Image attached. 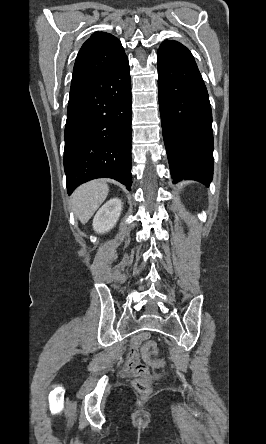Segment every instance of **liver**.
Returning a JSON list of instances; mask_svg holds the SVG:
<instances>
[{
	"mask_svg": "<svg viewBox=\"0 0 266 444\" xmlns=\"http://www.w3.org/2000/svg\"><path fill=\"white\" fill-rule=\"evenodd\" d=\"M109 192L108 185L94 180L78 187L72 195V207L76 217L85 224L105 201Z\"/></svg>",
	"mask_w": 266,
	"mask_h": 444,
	"instance_id": "1",
	"label": "liver"
}]
</instances>
